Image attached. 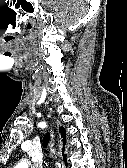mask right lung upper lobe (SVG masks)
<instances>
[{
    "instance_id": "cb5924a9",
    "label": "right lung upper lobe",
    "mask_w": 127,
    "mask_h": 168,
    "mask_svg": "<svg viewBox=\"0 0 127 168\" xmlns=\"http://www.w3.org/2000/svg\"><path fill=\"white\" fill-rule=\"evenodd\" d=\"M60 133H61L62 136H64V140H63V146H64V145H65V141H66V130H65L63 127H60ZM49 139H50V134L47 133V134L45 135L44 139H43V146H44V147L47 146ZM64 150H65V148L62 149L63 155H64ZM63 158H64V160L66 161V155H64Z\"/></svg>"
}]
</instances>
